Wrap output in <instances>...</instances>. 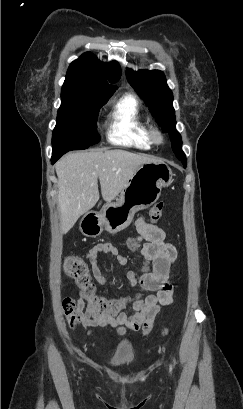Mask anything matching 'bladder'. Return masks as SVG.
Instances as JSON below:
<instances>
[{
  "instance_id": "1",
  "label": "bladder",
  "mask_w": 243,
  "mask_h": 409,
  "mask_svg": "<svg viewBox=\"0 0 243 409\" xmlns=\"http://www.w3.org/2000/svg\"><path fill=\"white\" fill-rule=\"evenodd\" d=\"M130 363H131V360L129 358H117V359L111 360L107 365L110 368H118V367L129 365Z\"/></svg>"
}]
</instances>
